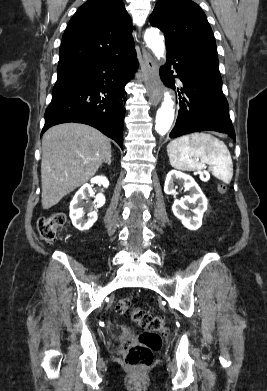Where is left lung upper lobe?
I'll return each mask as SVG.
<instances>
[{
	"label": "left lung upper lobe",
	"instance_id": "left-lung-upper-lobe-1",
	"mask_svg": "<svg viewBox=\"0 0 267 391\" xmlns=\"http://www.w3.org/2000/svg\"><path fill=\"white\" fill-rule=\"evenodd\" d=\"M149 20L164 33L166 47L218 65L212 29L203 10L193 1L158 0Z\"/></svg>",
	"mask_w": 267,
	"mask_h": 391
}]
</instances>
